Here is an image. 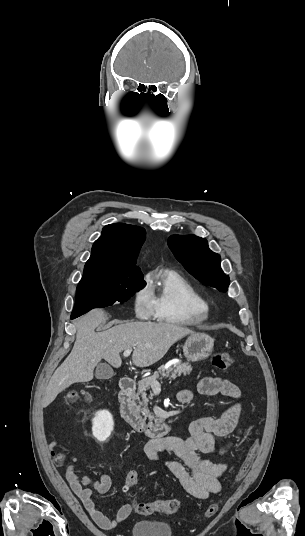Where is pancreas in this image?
<instances>
[{"label":"pancreas","instance_id":"pancreas-1","mask_svg":"<svg viewBox=\"0 0 305 536\" xmlns=\"http://www.w3.org/2000/svg\"><path fill=\"white\" fill-rule=\"evenodd\" d=\"M191 370L192 368L189 362H184V364H182V362H177V364H173V366H170V368H166V366H160V368H158V372H154L153 376H150V378H145V380H141V382H138L137 396H140V398H138L137 410H140V412H142L145 418H150V420H156V418L152 416V412H150L148 408L149 398L150 400H152L154 394H149V398H147L148 394H146L147 390H149L151 386V382H156V378H159V380H162V378L176 380V378H180V376H187V374H190Z\"/></svg>","mask_w":305,"mask_h":536}]
</instances>
